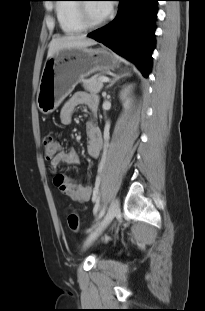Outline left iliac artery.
<instances>
[{
    "instance_id": "left-iliac-artery-1",
    "label": "left iliac artery",
    "mask_w": 205,
    "mask_h": 311,
    "mask_svg": "<svg viewBox=\"0 0 205 311\" xmlns=\"http://www.w3.org/2000/svg\"><path fill=\"white\" fill-rule=\"evenodd\" d=\"M99 184V178H97V181H96V185ZM98 207H99V204H98V200H96V204H95V210H98ZM105 214V208H103L99 214H98V219L102 218Z\"/></svg>"
}]
</instances>
